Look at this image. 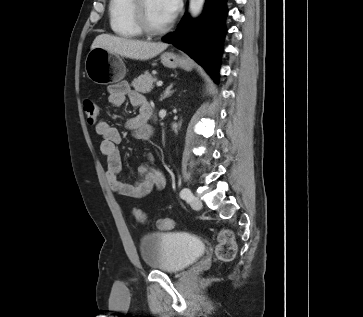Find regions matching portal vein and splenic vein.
I'll list each match as a JSON object with an SVG mask.
<instances>
[{
  "instance_id": "18ae733b",
  "label": "portal vein and splenic vein",
  "mask_w": 363,
  "mask_h": 317,
  "mask_svg": "<svg viewBox=\"0 0 363 317\" xmlns=\"http://www.w3.org/2000/svg\"><path fill=\"white\" fill-rule=\"evenodd\" d=\"M156 85H157L158 87H160V86H162V85H163V82H162V81H158V82L156 83Z\"/></svg>"
}]
</instances>
